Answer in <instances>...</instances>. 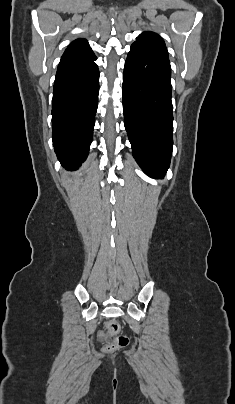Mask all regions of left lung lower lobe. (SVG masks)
I'll return each instance as SVG.
<instances>
[{"mask_svg":"<svg viewBox=\"0 0 235 404\" xmlns=\"http://www.w3.org/2000/svg\"><path fill=\"white\" fill-rule=\"evenodd\" d=\"M171 67L168 56L132 45L123 75L124 125L143 171L163 178L173 147Z\"/></svg>","mask_w":235,"mask_h":404,"instance_id":"obj_1","label":"left lung lower lobe"}]
</instances>
